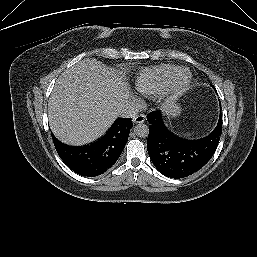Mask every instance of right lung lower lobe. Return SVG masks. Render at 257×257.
Listing matches in <instances>:
<instances>
[{"mask_svg": "<svg viewBox=\"0 0 257 257\" xmlns=\"http://www.w3.org/2000/svg\"><path fill=\"white\" fill-rule=\"evenodd\" d=\"M132 126L131 118H118L102 138L79 147L66 145L53 134L52 139L57 153L71 170L82 176L94 177L115 164Z\"/></svg>", "mask_w": 257, "mask_h": 257, "instance_id": "98d812e1", "label": "right lung lower lobe"}]
</instances>
